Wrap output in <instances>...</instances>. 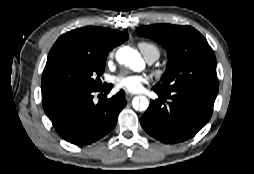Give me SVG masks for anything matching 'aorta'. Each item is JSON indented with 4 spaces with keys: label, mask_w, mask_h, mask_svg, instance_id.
<instances>
[{
    "label": "aorta",
    "mask_w": 254,
    "mask_h": 174,
    "mask_svg": "<svg viewBox=\"0 0 254 174\" xmlns=\"http://www.w3.org/2000/svg\"><path fill=\"white\" fill-rule=\"evenodd\" d=\"M116 59L120 64H124L133 70H137L143 63L140 54L130 47L120 48L116 53ZM135 110L144 111L149 106V101L145 96L136 97L132 101Z\"/></svg>",
    "instance_id": "1"
}]
</instances>
